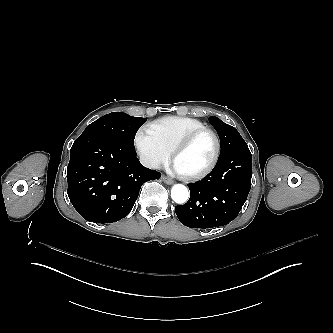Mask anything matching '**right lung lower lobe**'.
<instances>
[{
  "label": "right lung lower lobe",
  "instance_id": "right-lung-lower-lobe-1",
  "mask_svg": "<svg viewBox=\"0 0 333 333\" xmlns=\"http://www.w3.org/2000/svg\"><path fill=\"white\" fill-rule=\"evenodd\" d=\"M160 177L135 149L104 135H80L70 151L67 194L84 219L111 223L128 215L144 182Z\"/></svg>",
  "mask_w": 333,
  "mask_h": 333
}]
</instances>
